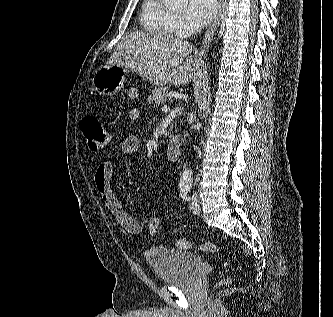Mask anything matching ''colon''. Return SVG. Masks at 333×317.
<instances>
[{"label":"colon","mask_w":333,"mask_h":317,"mask_svg":"<svg viewBox=\"0 0 333 317\" xmlns=\"http://www.w3.org/2000/svg\"><path fill=\"white\" fill-rule=\"evenodd\" d=\"M81 130L87 140V144L91 150L99 151L106 148L109 144V135L107 130L103 127L100 119L97 116L89 115L83 118L81 121ZM161 223V216L156 215L149 219L148 228L149 232L154 235L159 230ZM176 246L182 250L197 249L205 252H213L216 254H222L220 247L212 243H199L196 244L187 239H178ZM229 283V279L222 280L221 284L226 285Z\"/></svg>","instance_id":"5ec220e1"}]
</instances>
